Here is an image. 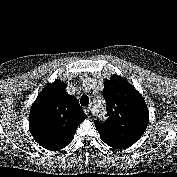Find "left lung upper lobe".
I'll list each match as a JSON object with an SVG mask.
<instances>
[{"label":"left lung upper lobe","instance_id":"1","mask_svg":"<svg viewBox=\"0 0 177 177\" xmlns=\"http://www.w3.org/2000/svg\"><path fill=\"white\" fill-rule=\"evenodd\" d=\"M108 118L95 122L104 143L122 149L133 145L147 128L149 113L142 95L125 78L113 75L104 83Z\"/></svg>","mask_w":177,"mask_h":177}]
</instances>
